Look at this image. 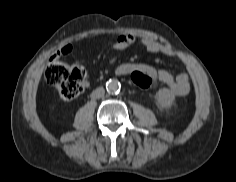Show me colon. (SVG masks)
Here are the masks:
<instances>
[{"instance_id":"obj_1","label":"colon","mask_w":236,"mask_h":182,"mask_svg":"<svg viewBox=\"0 0 236 182\" xmlns=\"http://www.w3.org/2000/svg\"><path fill=\"white\" fill-rule=\"evenodd\" d=\"M129 76L133 85L142 90L152 85V78L141 70H130ZM45 79L61 99L70 101L83 92L86 86V71L80 64L69 65L53 57L45 69Z\"/></svg>"}]
</instances>
